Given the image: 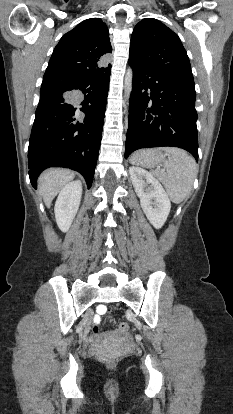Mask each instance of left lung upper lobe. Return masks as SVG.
Wrapping results in <instances>:
<instances>
[{"label":"left lung upper lobe","instance_id":"left-lung-upper-lobe-1","mask_svg":"<svg viewBox=\"0 0 233 414\" xmlns=\"http://www.w3.org/2000/svg\"><path fill=\"white\" fill-rule=\"evenodd\" d=\"M129 61L161 76L193 80L179 37L154 18L140 21L131 36Z\"/></svg>","mask_w":233,"mask_h":414}]
</instances>
